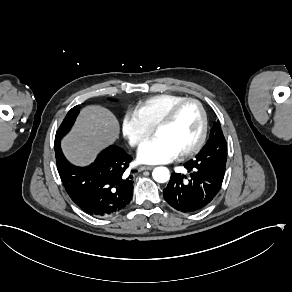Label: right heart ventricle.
<instances>
[{
  "label": "right heart ventricle",
  "mask_w": 292,
  "mask_h": 292,
  "mask_svg": "<svg viewBox=\"0 0 292 292\" xmlns=\"http://www.w3.org/2000/svg\"><path fill=\"white\" fill-rule=\"evenodd\" d=\"M183 98L186 96L176 93L158 94L139 101L133 110L150 128H153L167 108Z\"/></svg>",
  "instance_id": "1"
}]
</instances>
